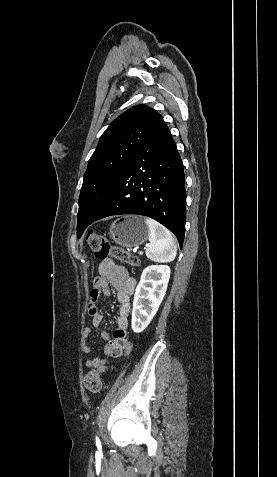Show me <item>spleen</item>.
<instances>
[{"instance_id": "obj_1", "label": "spleen", "mask_w": 277, "mask_h": 477, "mask_svg": "<svg viewBox=\"0 0 277 477\" xmlns=\"http://www.w3.org/2000/svg\"><path fill=\"white\" fill-rule=\"evenodd\" d=\"M149 228V246L146 256L155 262H171L177 254V246L171 232L157 221L146 218Z\"/></svg>"}]
</instances>
